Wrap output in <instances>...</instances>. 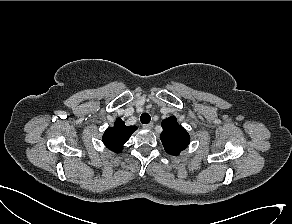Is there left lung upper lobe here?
<instances>
[{"label": "left lung upper lobe", "mask_w": 292, "mask_h": 224, "mask_svg": "<svg viewBox=\"0 0 292 224\" xmlns=\"http://www.w3.org/2000/svg\"><path fill=\"white\" fill-rule=\"evenodd\" d=\"M163 132L160 139L168 154L178 156L190 143L188 132L177 123L176 117L166 118L162 122Z\"/></svg>", "instance_id": "left-lung-upper-lobe-1"}]
</instances>
